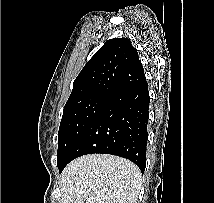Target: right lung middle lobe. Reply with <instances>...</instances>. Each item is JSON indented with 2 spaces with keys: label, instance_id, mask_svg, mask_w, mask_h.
<instances>
[{
  "label": "right lung middle lobe",
  "instance_id": "dd1d6c3e",
  "mask_svg": "<svg viewBox=\"0 0 214 203\" xmlns=\"http://www.w3.org/2000/svg\"><path fill=\"white\" fill-rule=\"evenodd\" d=\"M110 99L111 96L96 93L65 104L58 132V168L67 160L73 146Z\"/></svg>",
  "mask_w": 214,
  "mask_h": 203
}]
</instances>
